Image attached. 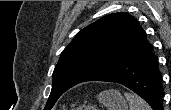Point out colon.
<instances>
[{
    "label": "colon",
    "mask_w": 171,
    "mask_h": 110,
    "mask_svg": "<svg viewBox=\"0 0 171 110\" xmlns=\"http://www.w3.org/2000/svg\"><path fill=\"white\" fill-rule=\"evenodd\" d=\"M73 110H90L87 106H79L74 108Z\"/></svg>",
    "instance_id": "obj_1"
}]
</instances>
